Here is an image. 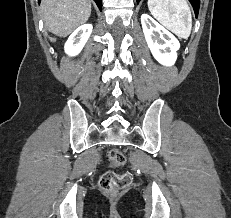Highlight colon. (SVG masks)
<instances>
[{"mask_svg":"<svg viewBox=\"0 0 231 218\" xmlns=\"http://www.w3.org/2000/svg\"><path fill=\"white\" fill-rule=\"evenodd\" d=\"M108 159L112 166L119 167L124 165L126 158L119 149H111L108 153ZM131 176L128 173L117 174L112 171H107L101 175L99 179L100 189L109 195H116L121 190L129 186Z\"/></svg>","mask_w":231,"mask_h":218,"instance_id":"1","label":"colon"}]
</instances>
